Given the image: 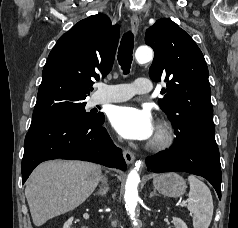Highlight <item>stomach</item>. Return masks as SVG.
Segmentation results:
<instances>
[{
  "label": "stomach",
  "mask_w": 238,
  "mask_h": 228,
  "mask_svg": "<svg viewBox=\"0 0 238 228\" xmlns=\"http://www.w3.org/2000/svg\"><path fill=\"white\" fill-rule=\"evenodd\" d=\"M153 186L168 197H179L186 191V181L177 173H163L153 177Z\"/></svg>",
  "instance_id": "0dacf381"
}]
</instances>
